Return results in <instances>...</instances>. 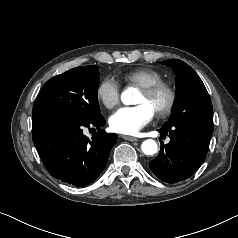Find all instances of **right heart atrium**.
I'll return each instance as SVG.
<instances>
[{
    "label": "right heart atrium",
    "instance_id": "right-heart-atrium-1",
    "mask_svg": "<svg viewBox=\"0 0 238 238\" xmlns=\"http://www.w3.org/2000/svg\"><path fill=\"white\" fill-rule=\"evenodd\" d=\"M97 98L106 107L113 108L120 101L119 83L111 77L104 78L97 87Z\"/></svg>",
    "mask_w": 238,
    "mask_h": 238
}]
</instances>
